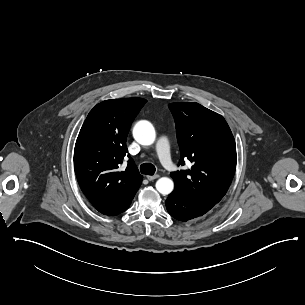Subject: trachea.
I'll return each instance as SVG.
<instances>
[{"mask_svg": "<svg viewBox=\"0 0 305 305\" xmlns=\"http://www.w3.org/2000/svg\"><path fill=\"white\" fill-rule=\"evenodd\" d=\"M140 172L145 175H154L156 168L151 163H144L140 166Z\"/></svg>", "mask_w": 305, "mask_h": 305, "instance_id": "1", "label": "trachea"}]
</instances>
